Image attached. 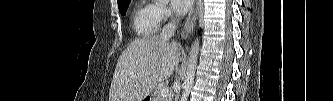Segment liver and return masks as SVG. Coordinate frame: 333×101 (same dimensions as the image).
Here are the masks:
<instances>
[{
	"mask_svg": "<svg viewBox=\"0 0 333 101\" xmlns=\"http://www.w3.org/2000/svg\"><path fill=\"white\" fill-rule=\"evenodd\" d=\"M179 49L160 35L131 42L118 59L109 101H143L158 82L172 75Z\"/></svg>",
	"mask_w": 333,
	"mask_h": 101,
	"instance_id": "6515ba94",
	"label": "liver"
}]
</instances>
